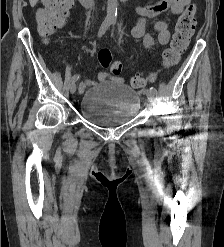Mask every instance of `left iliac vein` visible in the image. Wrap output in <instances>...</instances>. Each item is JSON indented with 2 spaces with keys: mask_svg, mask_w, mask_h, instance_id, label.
Returning a JSON list of instances; mask_svg holds the SVG:
<instances>
[{
  "mask_svg": "<svg viewBox=\"0 0 224 247\" xmlns=\"http://www.w3.org/2000/svg\"><path fill=\"white\" fill-rule=\"evenodd\" d=\"M146 96L148 98V101L151 104H154V102H155V94L150 89L146 91Z\"/></svg>",
  "mask_w": 224,
  "mask_h": 247,
  "instance_id": "left-iliac-vein-1",
  "label": "left iliac vein"
}]
</instances>
